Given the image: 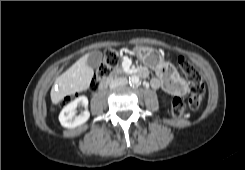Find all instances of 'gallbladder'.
<instances>
[{"instance_id": "gallbladder-1", "label": "gallbladder", "mask_w": 245, "mask_h": 170, "mask_svg": "<svg viewBox=\"0 0 245 170\" xmlns=\"http://www.w3.org/2000/svg\"><path fill=\"white\" fill-rule=\"evenodd\" d=\"M102 57V53L98 50L90 52L87 59L88 66H90L91 68L98 67L102 62Z\"/></svg>"}]
</instances>
